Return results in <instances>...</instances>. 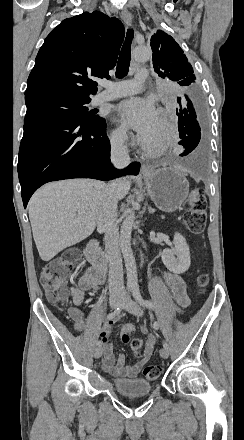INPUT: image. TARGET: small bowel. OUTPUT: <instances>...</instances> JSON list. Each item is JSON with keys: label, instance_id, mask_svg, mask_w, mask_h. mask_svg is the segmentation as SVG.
Instances as JSON below:
<instances>
[{"label": "small bowel", "instance_id": "1", "mask_svg": "<svg viewBox=\"0 0 244 440\" xmlns=\"http://www.w3.org/2000/svg\"><path fill=\"white\" fill-rule=\"evenodd\" d=\"M164 280L173 297L172 301L168 303L167 309L169 311H174L178 314H181L183 310L190 305L186 285L180 275L171 271L164 273ZM104 282V272H101L94 267L87 269V271L78 279L76 285L71 291L73 303L78 304V306L82 305L85 300L86 293L92 289L102 286ZM84 327H76V329H84ZM144 331L148 333V339L145 343L143 356L130 366L126 365V356L124 354H119L117 358H115L114 347L111 343L112 336L115 333V329L112 324L101 331L100 339L104 341V354L102 358L103 370L116 379L136 378L142 368L152 357L157 344V337L154 334L149 333L146 328H144Z\"/></svg>", "mask_w": 244, "mask_h": 440}]
</instances>
